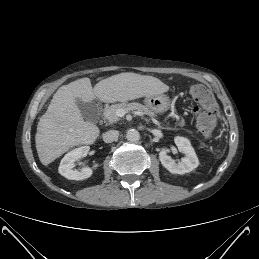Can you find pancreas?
Returning a JSON list of instances; mask_svg holds the SVG:
<instances>
[{"instance_id": "1", "label": "pancreas", "mask_w": 259, "mask_h": 259, "mask_svg": "<svg viewBox=\"0 0 259 259\" xmlns=\"http://www.w3.org/2000/svg\"><path fill=\"white\" fill-rule=\"evenodd\" d=\"M118 110H124L125 112L128 111H133V110H138L143 112L144 114L154 116V113L149 110L146 106L137 103V102H132V103H120V104H115L110 107H108L104 111V118L108 120L110 124L115 123L120 120L119 116H117V111Z\"/></svg>"}]
</instances>
